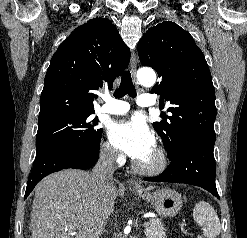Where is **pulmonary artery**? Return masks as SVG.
<instances>
[{
	"instance_id": "pulmonary-artery-1",
	"label": "pulmonary artery",
	"mask_w": 247,
	"mask_h": 238,
	"mask_svg": "<svg viewBox=\"0 0 247 238\" xmlns=\"http://www.w3.org/2000/svg\"><path fill=\"white\" fill-rule=\"evenodd\" d=\"M103 99L105 103L100 107V113L119 115L130 109L126 101L114 99L109 95H104ZM137 104L141 107H152L155 105V99L149 94H143L138 98Z\"/></svg>"
}]
</instances>
